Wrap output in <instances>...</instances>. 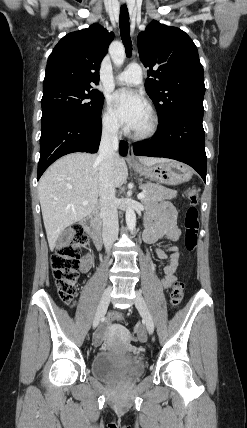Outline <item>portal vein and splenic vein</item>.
Segmentation results:
<instances>
[{
  "label": "portal vein and splenic vein",
  "mask_w": 247,
  "mask_h": 428,
  "mask_svg": "<svg viewBox=\"0 0 247 428\" xmlns=\"http://www.w3.org/2000/svg\"><path fill=\"white\" fill-rule=\"evenodd\" d=\"M144 197H145V193L144 192H141V193L138 194V199L142 200ZM82 204L83 205H87L88 202L87 201H83Z\"/></svg>",
  "instance_id": "portal-vein-and-splenic-vein-1"
}]
</instances>
